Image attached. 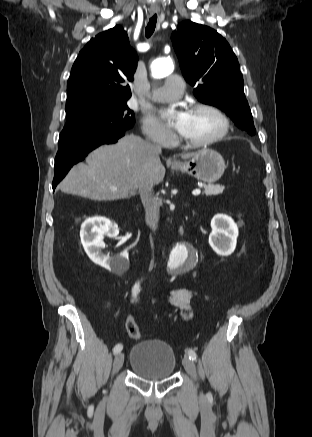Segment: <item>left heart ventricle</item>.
Listing matches in <instances>:
<instances>
[{
	"instance_id": "left-heart-ventricle-1",
	"label": "left heart ventricle",
	"mask_w": 312,
	"mask_h": 437,
	"mask_svg": "<svg viewBox=\"0 0 312 437\" xmlns=\"http://www.w3.org/2000/svg\"><path fill=\"white\" fill-rule=\"evenodd\" d=\"M220 127L221 122L214 114L204 111L190 112L186 128L181 135L187 140L200 141L216 134Z\"/></svg>"
}]
</instances>
